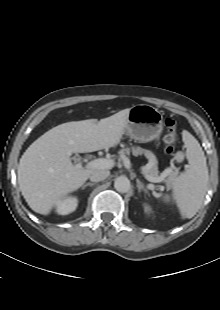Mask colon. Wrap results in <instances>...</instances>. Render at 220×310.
I'll return each mask as SVG.
<instances>
[{"mask_svg": "<svg viewBox=\"0 0 220 310\" xmlns=\"http://www.w3.org/2000/svg\"><path fill=\"white\" fill-rule=\"evenodd\" d=\"M166 127V134L164 136V144H165V151L168 154H172L175 152L176 143L178 140L177 134V122L172 118H168L165 121ZM177 159H183V154L177 153Z\"/></svg>", "mask_w": 220, "mask_h": 310, "instance_id": "obj_1", "label": "colon"}]
</instances>
